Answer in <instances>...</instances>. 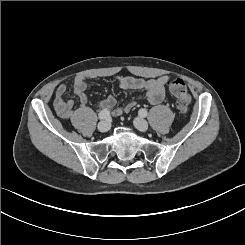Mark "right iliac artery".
Returning a JSON list of instances; mask_svg holds the SVG:
<instances>
[{
  "instance_id": "obj_1",
  "label": "right iliac artery",
  "mask_w": 245,
  "mask_h": 245,
  "mask_svg": "<svg viewBox=\"0 0 245 245\" xmlns=\"http://www.w3.org/2000/svg\"><path fill=\"white\" fill-rule=\"evenodd\" d=\"M109 116H110L109 110L103 109V110L99 113V116H98V117H99L100 120H105V119H107Z\"/></svg>"
}]
</instances>
